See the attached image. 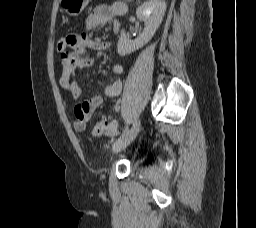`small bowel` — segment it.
Segmentation results:
<instances>
[{"instance_id":"obj_1","label":"small bowel","mask_w":256,"mask_h":228,"mask_svg":"<svg viewBox=\"0 0 256 228\" xmlns=\"http://www.w3.org/2000/svg\"><path fill=\"white\" fill-rule=\"evenodd\" d=\"M126 13V5L123 2H114L111 5H99L86 20V29H99L104 27L108 22L116 17ZM60 52V64L62 66V75L60 78V86L68 92L73 99L79 98L81 88L75 80L76 73L85 67L92 65V58L86 53L87 48L98 50H107L110 43L98 40H90L85 32L80 34L69 35L64 37V45L57 46ZM112 72L115 76L121 77L124 74L122 65L115 63L112 65ZM122 90V81L119 78L114 79L111 83L103 87L101 94H97L92 98L77 104L74 107L73 126L76 131H83L86 123L89 121L94 111L103 104L105 98H113L120 94ZM118 125L112 121L109 123L107 133L113 135L117 133Z\"/></svg>"}]
</instances>
